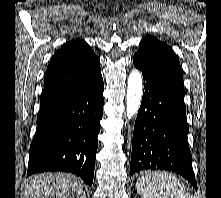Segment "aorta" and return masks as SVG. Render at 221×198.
Instances as JSON below:
<instances>
[{"label": "aorta", "mask_w": 221, "mask_h": 198, "mask_svg": "<svg viewBox=\"0 0 221 198\" xmlns=\"http://www.w3.org/2000/svg\"><path fill=\"white\" fill-rule=\"evenodd\" d=\"M143 79L140 71L133 69L127 81L126 112L128 119L134 117L142 100Z\"/></svg>", "instance_id": "762f6f07"}]
</instances>
